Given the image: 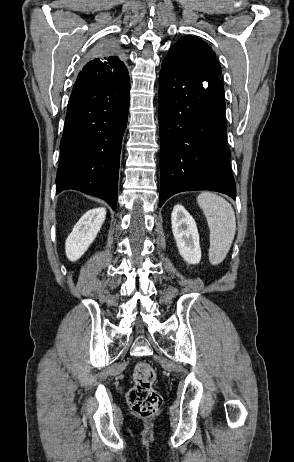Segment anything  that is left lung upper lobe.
<instances>
[{
	"label": "left lung upper lobe",
	"instance_id": "obj_1",
	"mask_svg": "<svg viewBox=\"0 0 294 462\" xmlns=\"http://www.w3.org/2000/svg\"><path fill=\"white\" fill-rule=\"evenodd\" d=\"M165 62L185 67L207 77H218L221 67L216 55L203 40L194 36H183L170 47Z\"/></svg>",
	"mask_w": 294,
	"mask_h": 462
}]
</instances>
